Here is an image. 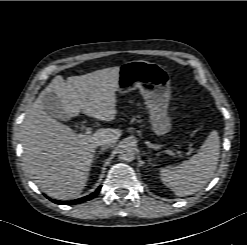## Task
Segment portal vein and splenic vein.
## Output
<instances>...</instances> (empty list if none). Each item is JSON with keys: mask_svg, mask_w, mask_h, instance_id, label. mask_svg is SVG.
<instances>
[{"mask_svg": "<svg viewBox=\"0 0 247 245\" xmlns=\"http://www.w3.org/2000/svg\"><path fill=\"white\" fill-rule=\"evenodd\" d=\"M84 130H85V133L88 134V135H90L92 133L91 127H85ZM177 157L181 158L182 156H177Z\"/></svg>", "mask_w": 247, "mask_h": 245, "instance_id": "1", "label": "portal vein and splenic vein"}]
</instances>
